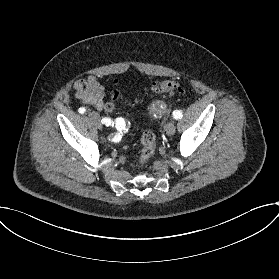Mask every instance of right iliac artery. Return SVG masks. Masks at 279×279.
I'll list each match as a JSON object with an SVG mask.
<instances>
[{
	"label": "right iliac artery",
	"instance_id": "obj_1",
	"mask_svg": "<svg viewBox=\"0 0 279 279\" xmlns=\"http://www.w3.org/2000/svg\"><path fill=\"white\" fill-rule=\"evenodd\" d=\"M78 111H79V113L83 114L86 110L84 107H81V108H79ZM124 120H125L124 117L121 116L118 118V120L114 119L112 121L110 118H103L101 120V122L103 124H105L106 126H110V125L115 126L117 130L121 131V130L125 129V127H126L125 124L123 123Z\"/></svg>",
	"mask_w": 279,
	"mask_h": 279
}]
</instances>
